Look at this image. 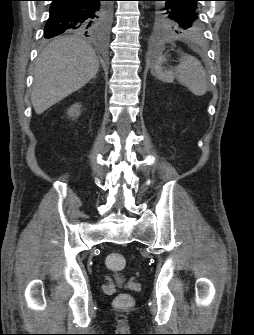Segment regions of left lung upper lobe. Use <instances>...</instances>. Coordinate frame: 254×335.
<instances>
[{
	"label": "left lung upper lobe",
	"instance_id": "5c2ea615",
	"mask_svg": "<svg viewBox=\"0 0 254 335\" xmlns=\"http://www.w3.org/2000/svg\"><path fill=\"white\" fill-rule=\"evenodd\" d=\"M154 1L150 17L153 29L168 33L199 32L202 22L199 0H148Z\"/></svg>",
	"mask_w": 254,
	"mask_h": 335
}]
</instances>
